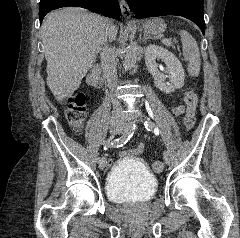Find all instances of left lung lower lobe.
Masks as SVG:
<instances>
[{"label":"left lung lower lobe","instance_id":"left-lung-lower-lobe-1","mask_svg":"<svg viewBox=\"0 0 240 238\" xmlns=\"http://www.w3.org/2000/svg\"><path fill=\"white\" fill-rule=\"evenodd\" d=\"M137 19L165 15L185 17L205 32L203 0H126Z\"/></svg>","mask_w":240,"mask_h":238}]
</instances>
